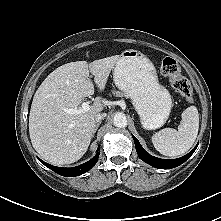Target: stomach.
I'll use <instances>...</instances> for the list:
<instances>
[{
  "label": "stomach",
  "instance_id": "obj_1",
  "mask_svg": "<svg viewBox=\"0 0 221 221\" xmlns=\"http://www.w3.org/2000/svg\"><path fill=\"white\" fill-rule=\"evenodd\" d=\"M113 80L133 103L145 129L160 128L172 107L169 91L159 84L153 63L140 51L128 49L117 60Z\"/></svg>",
  "mask_w": 221,
  "mask_h": 221
}]
</instances>
